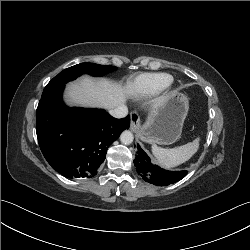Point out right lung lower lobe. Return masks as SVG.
I'll use <instances>...</instances> for the list:
<instances>
[{"label": "right lung lower lobe", "mask_w": 250, "mask_h": 250, "mask_svg": "<svg viewBox=\"0 0 250 250\" xmlns=\"http://www.w3.org/2000/svg\"><path fill=\"white\" fill-rule=\"evenodd\" d=\"M64 85L42 96L36 111V133L47 162L67 178H92L107 148L129 128L130 117L116 119L102 109L69 108Z\"/></svg>", "instance_id": "1"}]
</instances>
